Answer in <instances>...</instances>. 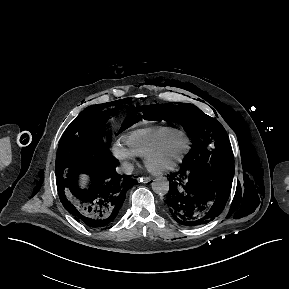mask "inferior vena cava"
<instances>
[{"mask_svg":"<svg viewBox=\"0 0 289 289\" xmlns=\"http://www.w3.org/2000/svg\"><path fill=\"white\" fill-rule=\"evenodd\" d=\"M133 169L134 167L132 164L126 163V164H123L121 167H118L117 172L119 174H131Z\"/></svg>","mask_w":289,"mask_h":289,"instance_id":"1","label":"inferior vena cava"}]
</instances>
